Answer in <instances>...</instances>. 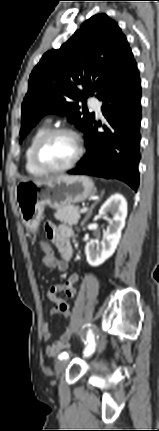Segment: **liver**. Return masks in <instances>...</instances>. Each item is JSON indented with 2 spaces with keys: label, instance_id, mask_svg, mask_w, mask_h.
Masks as SVG:
<instances>
[{
  "label": "liver",
  "instance_id": "obj_1",
  "mask_svg": "<svg viewBox=\"0 0 159 431\" xmlns=\"http://www.w3.org/2000/svg\"><path fill=\"white\" fill-rule=\"evenodd\" d=\"M33 182L40 183V182H44V181L43 180H34Z\"/></svg>",
  "mask_w": 159,
  "mask_h": 431
}]
</instances>
